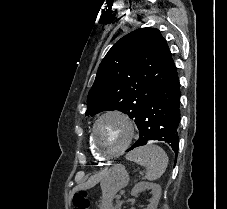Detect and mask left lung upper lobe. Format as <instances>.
<instances>
[{
    "instance_id": "1",
    "label": "left lung upper lobe",
    "mask_w": 227,
    "mask_h": 209,
    "mask_svg": "<svg viewBox=\"0 0 227 209\" xmlns=\"http://www.w3.org/2000/svg\"><path fill=\"white\" fill-rule=\"evenodd\" d=\"M176 67L155 28L137 29L117 41L99 65L87 98V116L118 110L135 122Z\"/></svg>"
}]
</instances>
